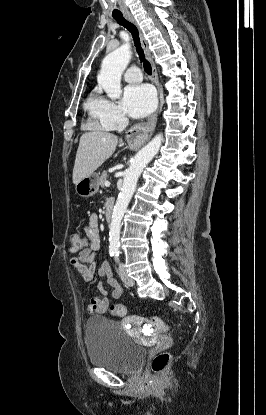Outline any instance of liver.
Here are the masks:
<instances>
[{"mask_svg": "<svg viewBox=\"0 0 266 415\" xmlns=\"http://www.w3.org/2000/svg\"><path fill=\"white\" fill-rule=\"evenodd\" d=\"M118 138L105 131H90L80 137L73 168V183L91 175L115 151Z\"/></svg>", "mask_w": 266, "mask_h": 415, "instance_id": "liver-1", "label": "liver"}]
</instances>
